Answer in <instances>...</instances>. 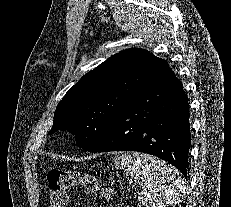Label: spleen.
<instances>
[{"instance_id": "obj_1", "label": "spleen", "mask_w": 231, "mask_h": 207, "mask_svg": "<svg viewBox=\"0 0 231 207\" xmlns=\"http://www.w3.org/2000/svg\"><path fill=\"white\" fill-rule=\"evenodd\" d=\"M114 166L142 186L138 200L146 207H168L184 198L185 182L179 172L153 156L122 154L114 157Z\"/></svg>"}]
</instances>
